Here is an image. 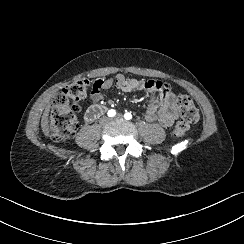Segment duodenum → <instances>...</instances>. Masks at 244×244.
<instances>
[{
  "label": "duodenum",
  "mask_w": 244,
  "mask_h": 244,
  "mask_svg": "<svg viewBox=\"0 0 244 244\" xmlns=\"http://www.w3.org/2000/svg\"><path fill=\"white\" fill-rule=\"evenodd\" d=\"M106 108L104 106L101 105H97L93 110H92V114H93V120L96 119V117L101 116L104 112H105Z\"/></svg>",
  "instance_id": "duodenum-1"
}]
</instances>
